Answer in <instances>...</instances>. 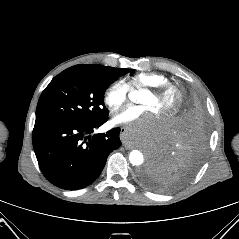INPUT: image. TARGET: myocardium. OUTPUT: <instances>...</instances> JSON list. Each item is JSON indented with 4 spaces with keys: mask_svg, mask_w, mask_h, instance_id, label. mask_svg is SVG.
<instances>
[{
    "mask_svg": "<svg viewBox=\"0 0 239 239\" xmlns=\"http://www.w3.org/2000/svg\"><path fill=\"white\" fill-rule=\"evenodd\" d=\"M145 91L151 93L156 98H161L165 96L173 97L172 106L163 113V116L171 117L175 115L181 108L184 96L182 91L173 84H165L157 87H148Z\"/></svg>",
    "mask_w": 239,
    "mask_h": 239,
    "instance_id": "myocardium-1",
    "label": "myocardium"
}]
</instances>
